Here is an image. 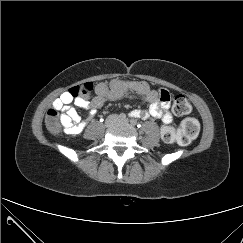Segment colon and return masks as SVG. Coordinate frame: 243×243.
I'll list each match as a JSON object with an SVG mask.
<instances>
[{"label": "colon", "mask_w": 243, "mask_h": 243, "mask_svg": "<svg viewBox=\"0 0 243 243\" xmlns=\"http://www.w3.org/2000/svg\"><path fill=\"white\" fill-rule=\"evenodd\" d=\"M108 84L101 82L94 86L93 83H85L80 86L73 87L69 90L74 97H89L93 90L97 89L105 91ZM167 92L161 94V99H166ZM172 110L177 116H184L190 113L191 105L184 95H176L173 101ZM58 109L52 104L48 109L45 122L48 130L53 134H59L61 131L60 117L58 116ZM200 130L199 122L194 118H187L182 123L178 130L172 127L165 126L161 129V138L166 143H178L187 145L194 140Z\"/></svg>", "instance_id": "5ec220e1"}]
</instances>
